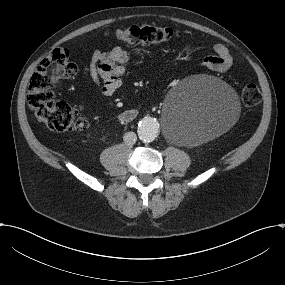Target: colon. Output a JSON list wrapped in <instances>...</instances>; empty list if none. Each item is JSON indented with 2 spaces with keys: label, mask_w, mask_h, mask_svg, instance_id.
<instances>
[{
  "label": "colon",
  "mask_w": 285,
  "mask_h": 285,
  "mask_svg": "<svg viewBox=\"0 0 285 285\" xmlns=\"http://www.w3.org/2000/svg\"><path fill=\"white\" fill-rule=\"evenodd\" d=\"M176 31L167 26L130 25L114 33L115 38L125 44H160L169 41ZM77 73V66L70 61L69 51L55 48L44 59L32 75L29 83L27 103L35 119L55 132L87 127L88 120L81 110L54 97L52 86L62 79ZM242 101L247 107H254L261 101V91L254 83H248L242 91Z\"/></svg>",
  "instance_id": "colon-1"
}]
</instances>
